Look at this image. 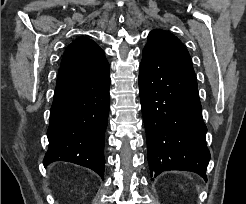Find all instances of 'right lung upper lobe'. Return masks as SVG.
I'll return each instance as SVG.
<instances>
[{
	"label": "right lung upper lobe",
	"instance_id": "cb5924a9",
	"mask_svg": "<svg viewBox=\"0 0 246 204\" xmlns=\"http://www.w3.org/2000/svg\"><path fill=\"white\" fill-rule=\"evenodd\" d=\"M91 65L105 66L108 62L104 51L93 40L81 37L67 47L60 68Z\"/></svg>",
	"mask_w": 246,
	"mask_h": 204
}]
</instances>
